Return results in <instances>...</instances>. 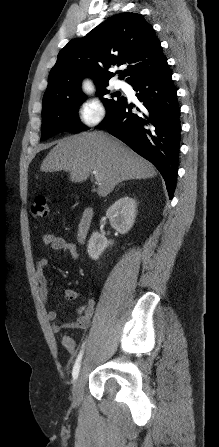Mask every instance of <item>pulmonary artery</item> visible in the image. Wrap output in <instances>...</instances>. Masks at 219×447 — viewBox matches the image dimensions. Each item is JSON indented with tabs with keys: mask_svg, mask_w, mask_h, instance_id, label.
Here are the masks:
<instances>
[{
	"mask_svg": "<svg viewBox=\"0 0 219 447\" xmlns=\"http://www.w3.org/2000/svg\"><path fill=\"white\" fill-rule=\"evenodd\" d=\"M116 87H117V88L124 89V88L126 87V84H125L123 81L118 80V81L116 82Z\"/></svg>",
	"mask_w": 219,
	"mask_h": 447,
	"instance_id": "e3ab8cb5",
	"label": "pulmonary artery"
}]
</instances>
